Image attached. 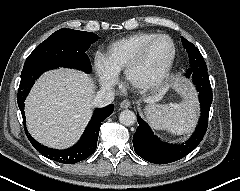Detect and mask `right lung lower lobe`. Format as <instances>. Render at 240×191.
Here are the masks:
<instances>
[{
  "mask_svg": "<svg viewBox=\"0 0 240 191\" xmlns=\"http://www.w3.org/2000/svg\"><path fill=\"white\" fill-rule=\"evenodd\" d=\"M57 67H44L33 70L22 71L21 82L18 90L17 102L23 117L25 125L24 101L30 92L35 80L45 71ZM114 105H108L101 109H96L92 119L86 127L81 139L74 146L65 150H56L41 145L31 135H27L29 141L34 148L48 159L59 163L73 164L88 158L96 150L97 140L99 136V127L101 122L113 113ZM27 132V129H25Z\"/></svg>",
  "mask_w": 240,
  "mask_h": 191,
  "instance_id": "obj_1",
  "label": "right lung lower lobe"
}]
</instances>
